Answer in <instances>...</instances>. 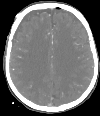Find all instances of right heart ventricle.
Returning a JSON list of instances; mask_svg holds the SVG:
<instances>
[{
	"label": "right heart ventricle",
	"mask_w": 100,
	"mask_h": 116,
	"mask_svg": "<svg viewBox=\"0 0 100 116\" xmlns=\"http://www.w3.org/2000/svg\"><path fill=\"white\" fill-rule=\"evenodd\" d=\"M38 30L41 32V33H44L45 31V29H44V26L43 25H40L39 27H38Z\"/></svg>",
	"instance_id": "e07e8e85"
}]
</instances>
